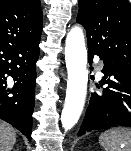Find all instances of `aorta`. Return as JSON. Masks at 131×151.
I'll list each match as a JSON object with an SVG mask.
<instances>
[{"instance_id":"obj_1","label":"aorta","mask_w":131,"mask_h":151,"mask_svg":"<svg viewBox=\"0 0 131 151\" xmlns=\"http://www.w3.org/2000/svg\"><path fill=\"white\" fill-rule=\"evenodd\" d=\"M65 62L68 79L61 124L64 130L68 131L78 122L87 94V51L83 31L79 27L71 28L67 34Z\"/></svg>"}]
</instances>
